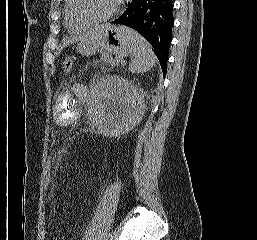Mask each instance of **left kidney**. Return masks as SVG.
<instances>
[{"instance_id":"obj_1","label":"left kidney","mask_w":257,"mask_h":240,"mask_svg":"<svg viewBox=\"0 0 257 240\" xmlns=\"http://www.w3.org/2000/svg\"><path fill=\"white\" fill-rule=\"evenodd\" d=\"M90 117L106 136H119L134 128L144 115L142 92L127 79L106 76L92 92Z\"/></svg>"}]
</instances>
